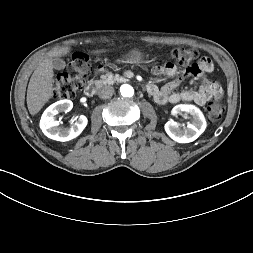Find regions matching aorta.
Segmentation results:
<instances>
[{
    "instance_id": "1",
    "label": "aorta",
    "mask_w": 253,
    "mask_h": 253,
    "mask_svg": "<svg viewBox=\"0 0 253 253\" xmlns=\"http://www.w3.org/2000/svg\"><path fill=\"white\" fill-rule=\"evenodd\" d=\"M120 92L123 97H132L134 95V89L129 84H123L120 87Z\"/></svg>"
}]
</instances>
